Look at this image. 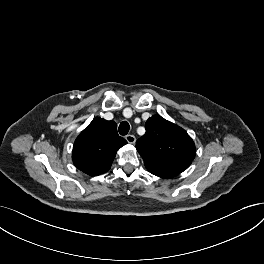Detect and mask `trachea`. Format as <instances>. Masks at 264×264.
I'll return each instance as SVG.
<instances>
[{
	"label": "trachea",
	"instance_id": "3493384b",
	"mask_svg": "<svg viewBox=\"0 0 264 264\" xmlns=\"http://www.w3.org/2000/svg\"><path fill=\"white\" fill-rule=\"evenodd\" d=\"M129 129H130L129 123L127 121H123L120 123L118 131L120 135L124 136L128 134Z\"/></svg>",
	"mask_w": 264,
	"mask_h": 264
}]
</instances>
